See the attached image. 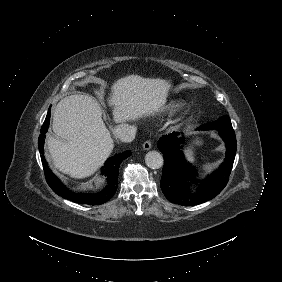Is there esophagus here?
I'll return each mask as SVG.
<instances>
[{"mask_svg":"<svg viewBox=\"0 0 282 282\" xmlns=\"http://www.w3.org/2000/svg\"><path fill=\"white\" fill-rule=\"evenodd\" d=\"M151 146H152V142L150 140H147L143 144V149L144 150H149L151 148Z\"/></svg>","mask_w":282,"mask_h":282,"instance_id":"34e87169","label":"esophagus"}]
</instances>
